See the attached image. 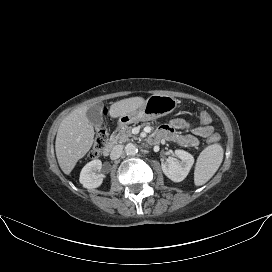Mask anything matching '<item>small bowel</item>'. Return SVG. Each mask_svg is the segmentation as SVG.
I'll return each mask as SVG.
<instances>
[{
  "mask_svg": "<svg viewBox=\"0 0 272 272\" xmlns=\"http://www.w3.org/2000/svg\"><path fill=\"white\" fill-rule=\"evenodd\" d=\"M187 132V133H184ZM213 127L210 125L193 126L184 119L176 118L162 125L154 134V140L167 139L185 147L198 145V138H210Z\"/></svg>",
  "mask_w": 272,
  "mask_h": 272,
  "instance_id": "small-bowel-1",
  "label": "small bowel"
}]
</instances>
